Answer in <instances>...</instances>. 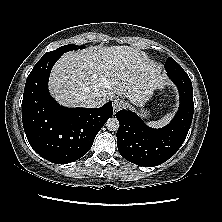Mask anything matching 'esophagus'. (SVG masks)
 <instances>
[{
	"label": "esophagus",
	"instance_id": "1",
	"mask_svg": "<svg viewBox=\"0 0 222 222\" xmlns=\"http://www.w3.org/2000/svg\"><path fill=\"white\" fill-rule=\"evenodd\" d=\"M124 101L120 98H115L113 100V110L114 112H118L119 110H121L124 107Z\"/></svg>",
	"mask_w": 222,
	"mask_h": 222
}]
</instances>
